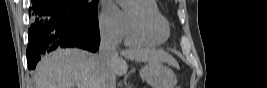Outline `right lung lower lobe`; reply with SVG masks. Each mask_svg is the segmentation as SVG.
Instances as JSON below:
<instances>
[{"label": "right lung lower lobe", "instance_id": "98d812e1", "mask_svg": "<svg viewBox=\"0 0 267 88\" xmlns=\"http://www.w3.org/2000/svg\"><path fill=\"white\" fill-rule=\"evenodd\" d=\"M34 21L28 31L27 62L35 69L40 55L59 47H79L96 52L99 47L97 18L77 13L62 0H33Z\"/></svg>", "mask_w": 267, "mask_h": 88}]
</instances>
